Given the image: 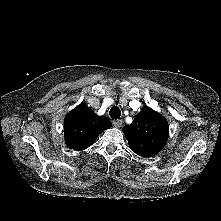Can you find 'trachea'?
Segmentation results:
<instances>
[{"instance_id": "1", "label": "trachea", "mask_w": 221, "mask_h": 221, "mask_svg": "<svg viewBox=\"0 0 221 221\" xmlns=\"http://www.w3.org/2000/svg\"><path fill=\"white\" fill-rule=\"evenodd\" d=\"M109 115L113 119H119L120 115H121V111H120L119 107L113 106L109 111Z\"/></svg>"}]
</instances>
